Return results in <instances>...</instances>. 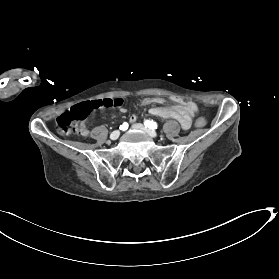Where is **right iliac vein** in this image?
<instances>
[{
    "mask_svg": "<svg viewBox=\"0 0 279 279\" xmlns=\"http://www.w3.org/2000/svg\"><path fill=\"white\" fill-rule=\"evenodd\" d=\"M120 136V131L119 130H116V131H113L110 135V139L111 140H116L118 137Z\"/></svg>",
    "mask_w": 279,
    "mask_h": 279,
    "instance_id": "right-iliac-vein-1",
    "label": "right iliac vein"
}]
</instances>
